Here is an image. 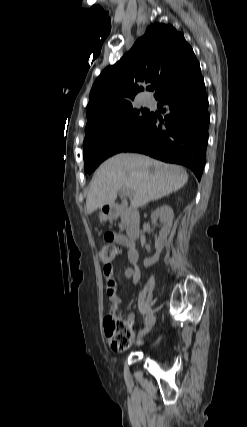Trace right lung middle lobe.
<instances>
[{"label": "right lung middle lobe", "mask_w": 247, "mask_h": 427, "mask_svg": "<svg viewBox=\"0 0 247 427\" xmlns=\"http://www.w3.org/2000/svg\"><path fill=\"white\" fill-rule=\"evenodd\" d=\"M153 114L133 106L114 119L85 129L83 142L85 173H92L108 157L123 152L146 131Z\"/></svg>", "instance_id": "1"}]
</instances>
